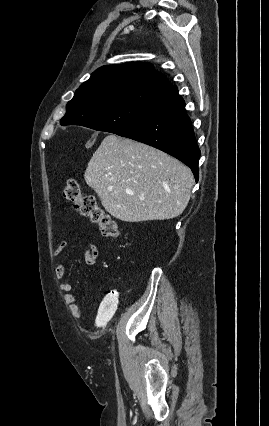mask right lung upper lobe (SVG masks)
Segmentation results:
<instances>
[{"label":"right lung upper lobe","instance_id":"obj_1","mask_svg":"<svg viewBox=\"0 0 269 426\" xmlns=\"http://www.w3.org/2000/svg\"><path fill=\"white\" fill-rule=\"evenodd\" d=\"M172 84L161 73L145 62L106 65L97 69L75 93L89 95L96 92L143 90L163 92Z\"/></svg>","mask_w":269,"mask_h":426}]
</instances>
